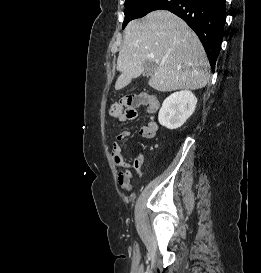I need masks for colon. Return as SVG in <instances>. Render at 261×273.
I'll return each mask as SVG.
<instances>
[{
  "instance_id": "colon-1",
  "label": "colon",
  "mask_w": 261,
  "mask_h": 273,
  "mask_svg": "<svg viewBox=\"0 0 261 273\" xmlns=\"http://www.w3.org/2000/svg\"><path fill=\"white\" fill-rule=\"evenodd\" d=\"M141 97L136 95H126L119 100L113 102L109 112L114 118L125 116L128 119H133L137 116L135 107L140 103ZM117 159L121 161L120 156Z\"/></svg>"
}]
</instances>
